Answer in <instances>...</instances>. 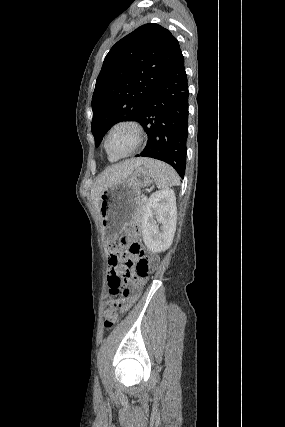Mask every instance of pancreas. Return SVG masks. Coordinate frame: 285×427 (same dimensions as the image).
Listing matches in <instances>:
<instances>
[{
  "mask_svg": "<svg viewBox=\"0 0 285 427\" xmlns=\"http://www.w3.org/2000/svg\"><path fill=\"white\" fill-rule=\"evenodd\" d=\"M145 205H146V201L141 200L139 202V205H138V208H137L138 215H142V213L144 211Z\"/></svg>",
  "mask_w": 285,
  "mask_h": 427,
  "instance_id": "cf45deb5",
  "label": "pancreas"
}]
</instances>
